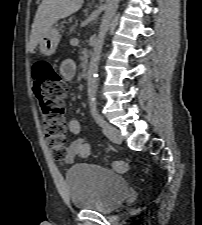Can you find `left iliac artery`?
<instances>
[{
  "label": "left iliac artery",
  "mask_w": 202,
  "mask_h": 225,
  "mask_svg": "<svg viewBox=\"0 0 202 225\" xmlns=\"http://www.w3.org/2000/svg\"><path fill=\"white\" fill-rule=\"evenodd\" d=\"M90 110H91L92 117L94 118L95 122L99 126L104 127V126H107L108 125V123H106V121L99 114L98 109H97V103H96L95 100H92L90 102Z\"/></svg>",
  "instance_id": "44dca946"
}]
</instances>
